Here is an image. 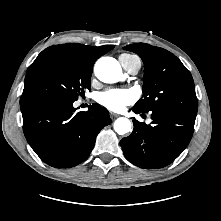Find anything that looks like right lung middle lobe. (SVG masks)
Instances as JSON below:
<instances>
[{
  "mask_svg": "<svg viewBox=\"0 0 221 221\" xmlns=\"http://www.w3.org/2000/svg\"><path fill=\"white\" fill-rule=\"evenodd\" d=\"M92 68L67 57H49L32 64L26 74L23 98L74 102L91 87Z\"/></svg>",
  "mask_w": 221,
  "mask_h": 221,
  "instance_id": "1",
  "label": "right lung middle lobe"
}]
</instances>
